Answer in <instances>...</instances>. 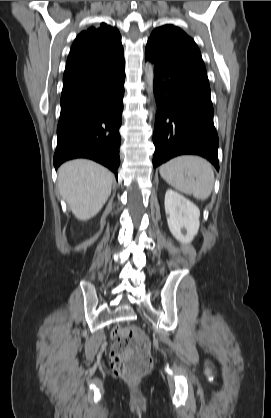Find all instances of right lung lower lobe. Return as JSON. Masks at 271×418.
<instances>
[{
    "mask_svg": "<svg viewBox=\"0 0 271 418\" xmlns=\"http://www.w3.org/2000/svg\"><path fill=\"white\" fill-rule=\"evenodd\" d=\"M124 65L92 87L61 100L54 166L74 158H89L117 177L124 96Z\"/></svg>",
    "mask_w": 271,
    "mask_h": 418,
    "instance_id": "98d812e1",
    "label": "right lung lower lobe"
}]
</instances>
